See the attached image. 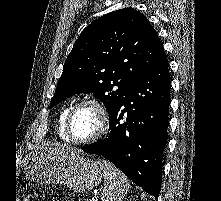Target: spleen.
<instances>
[{
    "instance_id": "3e777b00",
    "label": "spleen",
    "mask_w": 221,
    "mask_h": 201,
    "mask_svg": "<svg viewBox=\"0 0 221 201\" xmlns=\"http://www.w3.org/2000/svg\"><path fill=\"white\" fill-rule=\"evenodd\" d=\"M97 164L100 166L105 180L101 200L121 201L130 187L129 180L111 162L104 159H98Z\"/></svg>"
}]
</instances>
